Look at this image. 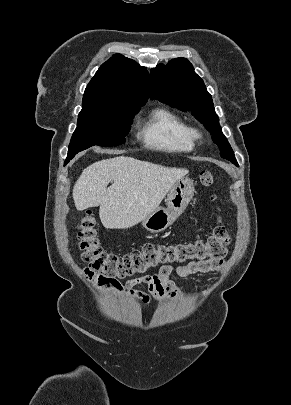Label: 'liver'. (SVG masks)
<instances>
[{"mask_svg":"<svg viewBox=\"0 0 291 405\" xmlns=\"http://www.w3.org/2000/svg\"><path fill=\"white\" fill-rule=\"evenodd\" d=\"M186 169L167 168L119 156L85 168L73 187L77 210L100 205L99 216L108 229H126L146 218ZM110 181L112 185L107 188Z\"/></svg>","mask_w":291,"mask_h":405,"instance_id":"1","label":"liver"}]
</instances>
